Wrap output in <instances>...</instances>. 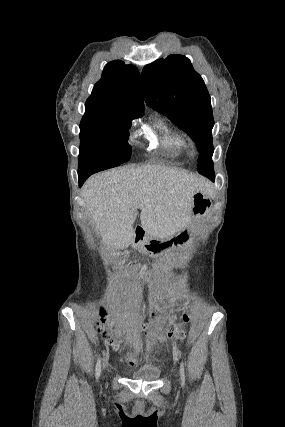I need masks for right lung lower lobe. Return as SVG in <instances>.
I'll return each instance as SVG.
<instances>
[{
    "mask_svg": "<svg viewBox=\"0 0 285 427\" xmlns=\"http://www.w3.org/2000/svg\"><path fill=\"white\" fill-rule=\"evenodd\" d=\"M91 174H93V172L92 171H90V172H84V173H80V172H78V176H79V185L81 186L83 183H84V181L91 175Z\"/></svg>",
    "mask_w": 285,
    "mask_h": 427,
    "instance_id": "98d812e1",
    "label": "right lung lower lobe"
}]
</instances>
